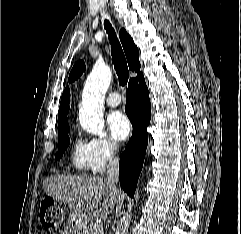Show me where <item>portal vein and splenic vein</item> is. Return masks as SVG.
I'll return each instance as SVG.
<instances>
[{"instance_id": "portal-vein-and-splenic-vein-1", "label": "portal vein and splenic vein", "mask_w": 241, "mask_h": 234, "mask_svg": "<svg viewBox=\"0 0 241 234\" xmlns=\"http://www.w3.org/2000/svg\"><path fill=\"white\" fill-rule=\"evenodd\" d=\"M101 229H102V226L98 223L93 226V230H101Z\"/></svg>"}]
</instances>
